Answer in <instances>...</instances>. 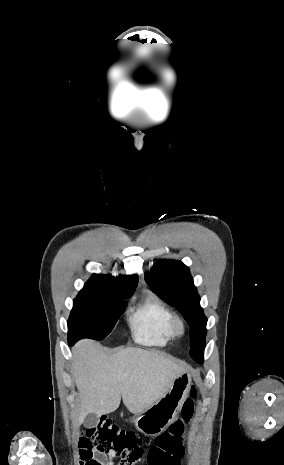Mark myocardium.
<instances>
[{"instance_id":"1","label":"myocardium","mask_w":284,"mask_h":465,"mask_svg":"<svg viewBox=\"0 0 284 465\" xmlns=\"http://www.w3.org/2000/svg\"><path fill=\"white\" fill-rule=\"evenodd\" d=\"M187 327L185 320L180 316H175L171 324V332L175 338H182L186 334Z\"/></svg>"}]
</instances>
